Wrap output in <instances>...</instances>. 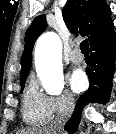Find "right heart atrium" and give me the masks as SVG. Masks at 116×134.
Returning a JSON list of instances; mask_svg holds the SVG:
<instances>
[{
    "mask_svg": "<svg viewBox=\"0 0 116 134\" xmlns=\"http://www.w3.org/2000/svg\"><path fill=\"white\" fill-rule=\"evenodd\" d=\"M48 104L52 115H63L74 109L75 100L71 94L65 92L58 96L49 97Z\"/></svg>",
    "mask_w": 116,
    "mask_h": 134,
    "instance_id": "1",
    "label": "right heart atrium"
}]
</instances>
